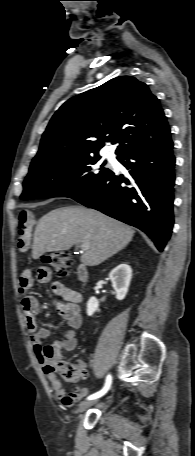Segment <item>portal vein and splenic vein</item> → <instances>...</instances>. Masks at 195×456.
I'll list each match as a JSON object with an SVG mask.
<instances>
[{"label":"portal vein and splenic vein","instance_id":"obj_1","mask_svg":"<svg viewBox=\"0 0 195 456\" xmlns=\"http://www.w3.org/2000/svg\"><path fill=\"white\" fill-rule=\"evenodd\" d=\"M86 249V246L81 245V250L84 251Z\"/></svg>","mask_w":195,"mask_h":456}]
</instances>
